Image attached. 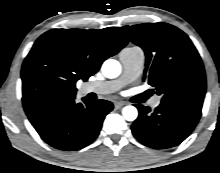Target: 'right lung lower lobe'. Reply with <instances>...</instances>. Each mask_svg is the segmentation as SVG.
<instances>
[{
	"instance_id": "obj_1",
	"label": "right lung lower lobe",
	"mask_w": 220,
	"mask_h": 173,
	"mask_svg": "<svg viewBox=\"0 0 220 173\" xmlns=\"http://www.w3.org/2000/svg\"><path fill=\"white\" fill-rule=\"evenodd\" d=\"M82 101L76 103L75 95H71L26 114L47 144L64 151L79 150L96 139L105 116L113 109V104L106 100Z\"/></svg>"
}]
</instances>
